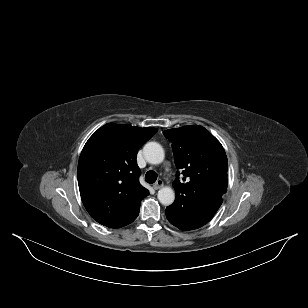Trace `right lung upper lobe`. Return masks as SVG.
Instances as JSON below:
<instances>
[{
    "label": "right lung upper lobe",
    "instance_id": "right-lung-upper-lobe-1",
    "mask_svg": "<svg viewBox=\"0 0 308 308\" xmlns=\"http://www.w3.org/2000/svg\"><path fill=\"white\" fill-rule=\"evenodd\" d=\"M158 130L108 123L86 142L77 176L82 202L98 223L120 228L136 219L149 194L139 183L138 149Z\"/></svg>",
    "mask_w": 308,
    "mask_h": 308
}]
</instances>
